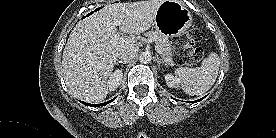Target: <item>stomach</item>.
<instances>
[{"instance_id": "1", "label": "stomach", "mask_w": 276, "mask_h": 138, "mask_svg": "<svg viewBox=\"0 0 276 138\" xmlns=\"http://www.w3.org/2000/svg\"><path fill=\"white\" fill-rule=\"evenodd\" d=\"M153 25L164 36H180L192 25V15L181 2L164 0L156 11Z\"/></svg>"}]
</instances>
